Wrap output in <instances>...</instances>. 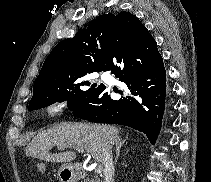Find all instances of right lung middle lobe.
Here are the masks:
<instances>
[{"label":"right lung middle lobe","mask_w":211,"mask_h":182,"mask_svg":"<svg viewBox=\"0 0 211 182\" xmlns=\"http://www.w3.org/2000/svg\"><path fill=\"white\" fill-rule=\"evenodd\" d=\"M81 75L72 79L49 83L33 91V97L29 103V111L47 107L55 102L67 100L70 110H75L92 96L99 88L91 78L94 72Z\"/></svg>","instance_id":"1"}]
</instances>
